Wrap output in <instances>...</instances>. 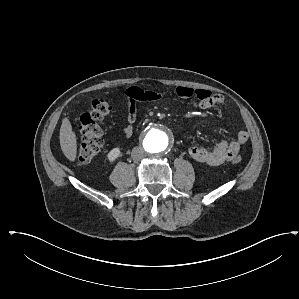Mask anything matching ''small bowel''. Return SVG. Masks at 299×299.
<instances>
[{"mask_svg":"<svg viewBox=\"0 0 299 299\" xmlns=\"http://www.w3.org/2000/svg\"><path fill=\"white\" fill-rule=\"evenodd\" d=\"M176 95L182 99H190L196 109L206 110L225 103L224 96L212 94L205 89H193L186 86H179ZM127 116L126 125L123 128L125 138H130L133 134V123L136 120V103L138 101H158L163 98V94L154 89H142L137 86L127 89ZM249 140L247 131H238L236 137L231 140L220 141L210 147L191 146L188 149L189 156L196 162L209 166H217L225 161L232 160L242 147Z\"/></svg>","mask_w":299,"mask_h":299,"instance_id":"obj_1","label":"small bowel"}]
</instances>
